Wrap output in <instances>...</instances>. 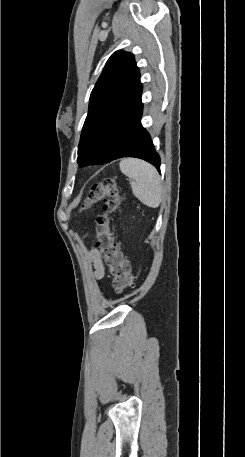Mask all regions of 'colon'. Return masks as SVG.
<instances>
[{
  "label": "colon",
  "instance_id": "1",
  "mask_svg": "<svg viewBox=\"0 0 245 457\" xmlns=\"http://www.w3.org/2000/svg\"><path fill=\"white\" fill-rule=\"evenodd\" d=\"M123 200L124 196L116 180L107 178L94 183L83 202V208H88L97 202H104V212L96 219L95 239L112 276L113 287L118 294L132 287L134 283L130 264L114 238L111 226V217L120 211Z\"/></svg>",
  "mask_w": 245,
  "mask_h": 457
}]
</instances>
